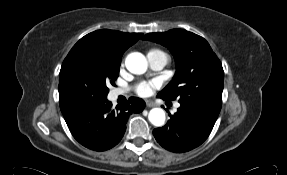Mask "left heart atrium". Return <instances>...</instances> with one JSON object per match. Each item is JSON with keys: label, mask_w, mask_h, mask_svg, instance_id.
<instances>
[{"label": "left heart atrium", "mask_w": 287, "mask_h": 175, "mask_svg": "<svg viewBox=\"0 0 287 175\" xmlns=\"http://www.w3.org/2000/svg\"><path fill=\"white\" fill-rule=\"evenodd\" d=\"M160 86V81L157 79L143 80L136 84L135 91L139 96L147 97L153 94L154 90Z\"/></svg>", "instance_id": "39dd6f15"}]
</instances>
